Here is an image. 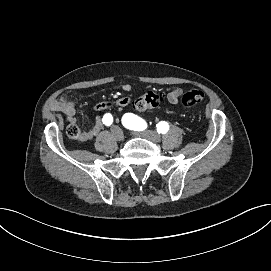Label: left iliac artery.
<instances>
[{"label":"left iliac artery","mask_w":271,"mask_h":271,"mask_svg":"<svg viewBox=\"0 0 271 271\" xmlns=\"http://www.w3.org/2000/svg\"><path fill=\"white\" fill-rule=\"evenodd\" d=\"M122 124L127 129L134 130V131H143L147 127L146 122L142 118L132 113H126L122 117ZM156 127H157L158 133H162V134H165L169 130V124L165 121L159 122L156 125Z\"/></svg>","instance_id":"obj_1"}]
</instances>
